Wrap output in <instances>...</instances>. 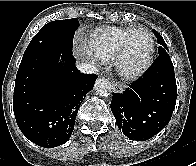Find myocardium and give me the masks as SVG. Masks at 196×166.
<instances>
[{
  "label": "myocardium",
  "mask_w": 196,
  "mask_h": 166,
  "mask_svg": "<svg viewBox=\"0 0 196 166\" xmlns=\"http://www.w3.org/2000/svg\"><path fill=\"white\" fill-rule=\"evenodd\" d=\"M145 32L150 39V48L146 59L137 67H130L128 65L130 55V41L133 35L137 32ZM156 44L152 32L145 27H137L130 31L124 41V45L120 55L116 59V69L118 74L127 80H134L141 77L152 66L155 58Z\"/></svg>",
  "instance_id": "myocardium-1"
}]
</instances>
